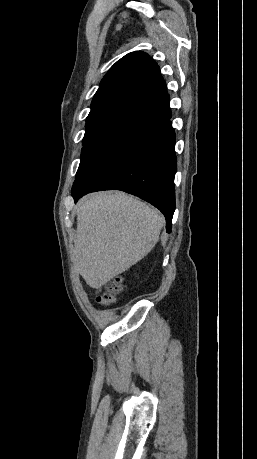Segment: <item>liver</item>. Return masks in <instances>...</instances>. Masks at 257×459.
<instances>
[{
    "mask_svg": "<svg viewBox=\"0 0 257 459\" xmlns=\"http://www.w3.org/2000/svg\"><path fill=\"white\" fill-rule=\"evenodd\" d=\"M76 214L72 261L95 289L144 258L164 222L157 210L122 192L88 195L78 202Z\"/></svg>",
    "mask_w": 257,
    "mask_h": 459,
    "instance_id": "1",
    "label": "liver"
}]
</instances>
